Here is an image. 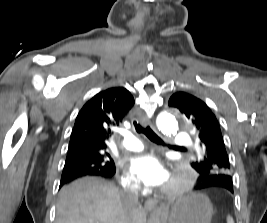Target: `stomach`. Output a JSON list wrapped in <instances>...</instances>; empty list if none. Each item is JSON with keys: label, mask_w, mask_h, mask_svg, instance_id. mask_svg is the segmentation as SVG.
I'll return each mask as SVG.
<instances>
[{"label": "stomach", "mask_w": 267, "mask_h": 223, "mask_svg": "<svg viewBox=\"0 0 267 223\" xmlns=\"http://www.w3.org/2000/svg\"><path fill=\"white\" fill-rule=\"evenodd\" d=\"M213 206L202 193H190L176 199L164 215V223H210Z\"/></svg>", "instance_id": "1"}]
</instances>
